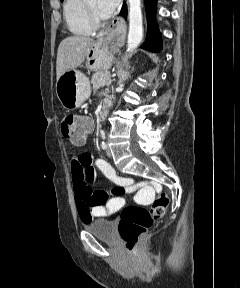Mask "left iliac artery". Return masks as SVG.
<instances>
[{
    "mask_svg": "<svg viewBox=\"0 0 240 288\" xmlns=\"http://www.w3.org/2000/svg\"><path fill=\"white\" fill-rule=\"evenodd\" d=\"M101 148L102 149H106L107 148V144L104 141H102V143H101Z\"/></svg>",
    "mask_w": 240,
    "mask_h": 288,
    "instance_id": "obj_1",
    "label": "left iliac artery"
}]
</instances>
